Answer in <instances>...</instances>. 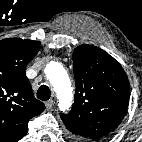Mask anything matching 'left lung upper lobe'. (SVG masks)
<instances>
[{
    "label": "left lung upper lobe",
    "instance_id": "obj_1",
    "mask_svg": "<svg viewBox=\"0 0 142 142\" xmlns=\"http://www.w3.org/2000/svg\"><path fill=\"white\" fill-rule=\"evenodd\" d=\"M76 92L68 114H60L76 141H100L119 126L128 106L130 88L121 65L107 52L80 45L73 53Z\"/></svg>",
    "mask_w": 142,
    "mask_h": 142
}]
</instances>
